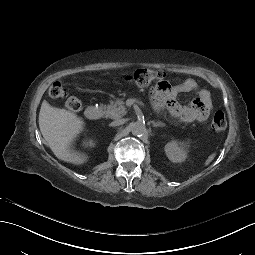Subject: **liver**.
I'll list each match as a JSON object with an SVG mask.
<instances>
[{
  "mask_svg": "<svg viewBox=\"0 0 255 255\" xmlns=\"http://www.w3.org/2000/svg\"><path fill=\"white\" fill-rule=\"evenodd\" d=\"M83 127V121L75 114L43 101L39 113L40 132L58 160L76 166L87 162L85 156L71 150Z\"/></svg>",
  "mask_w": 255,
  "mask_h": 255,
  "instance_id": "1",
  "label": "liver"
}]
</instances>
